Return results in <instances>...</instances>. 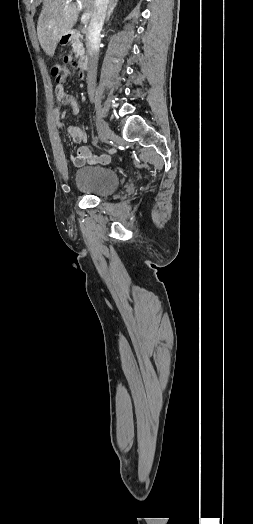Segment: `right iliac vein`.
Masks as SVG:
<instances>
[{
    "mask_svg": "<svg viewBox=\"0 0 253 524\" xmlns=\"http://www.w3.org/2000/svg\"><path fill=\"white\" fill-rule=\"evenodd\" d=\"M96 126L102 142H107L113 135L108 123L101 117H96Z\"/></svg>",
    "mask_w": 253,
    "mask_h": 524,
    "instance_id": "obj_1",
    "label": "right iliac vein"
}]
</instances>
